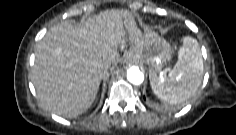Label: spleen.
Here are the masks:
<instances>
[{"mask_svg":"<svg viewBox=\"0 0 236 135\" xmlns=\"http://www.w3.org/2000/svg\"><path fill=\"white\" fill-rule=\"evenodd\" d=\"M203 58L196 39L186 36L178 54V61L168 73L150 77L153 92L170 104L189 100L198 90L203 76Z\"/></svg>","mask_w":236,"mask_h":135,"instance_id":"obj_1","label":"spleen"}]
</instances>
